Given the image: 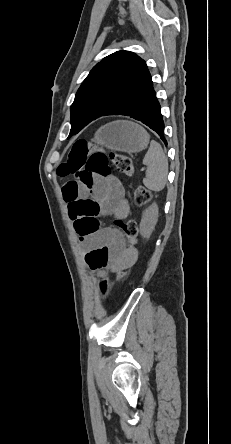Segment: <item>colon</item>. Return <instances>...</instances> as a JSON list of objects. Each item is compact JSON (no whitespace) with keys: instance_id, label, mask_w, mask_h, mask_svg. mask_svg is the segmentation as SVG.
Here are the masks:
<instances>
[{"instance_id":"colon-1","label":"colon","mask_w":231,"mask_h":444,"mask_svg":"<svg viewBox=\"0 0 231 444\" xmlns=\"http://www.w3.org/2000/svg\"><path fill=\"white\" fill-rule=\"evenodd\" d=\"M111 165L121 174L132 176L134 164L125 154L111 152L107 154L101 147L94 146L85 140L76 141L67 157L57 168L60 177L75 176L76 185L91 186L96 177H107L111 173ZM151 198V192L144 186H138L134 191V202L138 206L146 204ZM97 204L91 199L79 200L71 206V216L75 223V230L81 237H88L99 229L97 220ZM127 242V249H134L138 235V225L135 219L121 221L117 224ZM118 271L113 280H103L99 283V290L106 298L118 282L128 275L127 269Z\"/></svg>"}]
</instances>
